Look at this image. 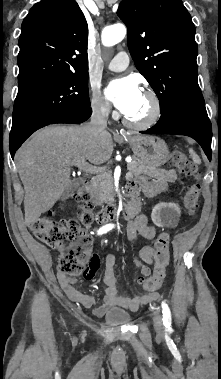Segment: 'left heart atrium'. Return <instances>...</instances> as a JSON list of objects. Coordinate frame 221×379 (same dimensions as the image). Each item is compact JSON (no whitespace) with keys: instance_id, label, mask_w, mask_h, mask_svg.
Instances as JSON below:
<instances>
[{"instance_id":"left-heart-atrium-1","label":"left heart atrium","mask_w":221,"mask_h":379,"mask_svg":"<svg viewBox=\"0 0 221 379\" xmlns=\"http://www.w3.org/2000/svg\"><path fill=\"white\" fill-rule=\"evenodd\" d=\"M106 97L124 115L130 113L139 103L142 92L133 77L114 80L106 88Z\"/></svg>"}]
</instances>
